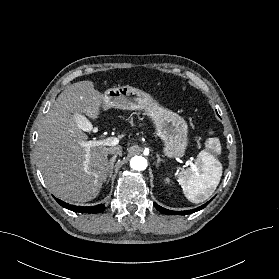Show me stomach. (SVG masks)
<instances>
[{
  "mask_svg": "<svg viewBox=\"0 0 279 279\" xmlns=\"http://www.w3.org/2000/svg\"><path fill=\"white\" fill-rule=\"evenodd\" d=\"M103 107L144 111L155 125L156 134L164 143V154L180 158L188 143V126L183 117L160 105L150 94L126 85L113 87L103 95Z\"/></svg>",
  "mask_w": 279,
  "mask_h": 279,
  "instance_id": "1",
  "label": "stomach"
}]
</instances>
